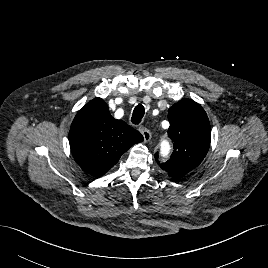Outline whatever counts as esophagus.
<instances>
[{
  "label": "esophagus",
  "mask_w": 268,
  "mask_h": 268,
  "mask_svg": "<svg viewBox=\"0 0 268 268\" xmlns=\"http://www.w3.org/2000/svg\"><path fill=\"white\" fill-rule=\"evenodd\" d=\"M140 131H141V133L143 135L144 141L145 142L150 141V139H151L150 131L147 128L143 127V126L140 127Z\"/></svg>",
  "instance_id": "1"
}]
</instances>
